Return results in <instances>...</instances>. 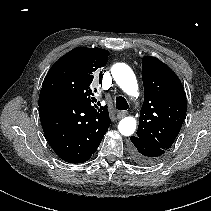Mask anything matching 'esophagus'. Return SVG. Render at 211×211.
Masks as SVG:
<instances>
[{
	"label": "esophagus",
	"mask_w": 211,
	"mask_h": 211,
	"mask_svg": "<svg viewBox=\"0 0 211 211\" xmlns=\"http://www.w3.org/2000/svg\"><path fill=\"white\" fill-rule=\"evenodd\" d=\"M128 113L126 111H120L117 113V118L118 119H121L123 118L124 116H126Z\"/></svg>",
	"instance_id": "obj_1"
}]
</instances>
